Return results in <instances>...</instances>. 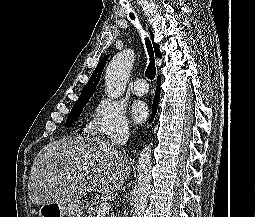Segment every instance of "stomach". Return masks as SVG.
Listing matches in <instances>:
<instances>
[{"instance_id": "stomach-1", "label": "stomach", "mask_w": 255, "mask_h": 217, "mask_svg": "<svg viewBox=\"0 0 255 217\" xmlns=\"http://www.w3.org/2000/svg\"><path fill=\"white\" fill-rule=\"evenodd\" d=\"M84 204L80 200L67 202H50L41 205L39 217H81L83 215Z\"/></svg>"}]
</instances>
